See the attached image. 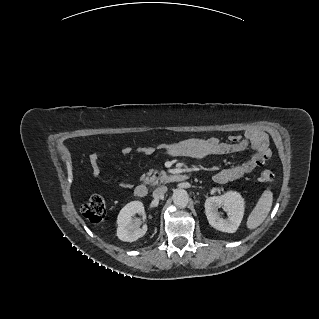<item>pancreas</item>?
Returning a JSON list of instances; mask_svg holds the SVG:
<instances>
[{
    "label": "pancreas",
    "instance_id": "1",
    "mask_svg": "<svg viewBox=\"0 0 319 319\" xmlns=\"http://www.w3.org/2000/svg\"><path fill=\"white\" fill-rule=\"evenodd\" d=\"M167 175L163 171L149 170L144 177V182L150 184L151 186L160 185L165 183Z\"/></svg>",
    "mask_w": 319,
    "mask_h": 319
}]
</instances>
